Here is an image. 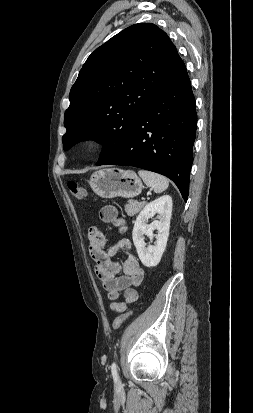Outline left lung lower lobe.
<instances>
[{
  "mask_svg": "<svg viewBox=\"0 0 253 413\" xmlns=\"http://www.w3.org/2000/svg\"><path fill=\"white\" fill-rule=\"evenodd\" d=\"M197 127L195 98L178 57L125 145L101 165L134 166L170 178L187 201Z\"/></svg>",
  "mask_w": 253,
  "mask_h": 413,
  "instance_id": "left-lung-lower-lobe-1",
  "label": "left lung lower lobe"
}]
</instances>
